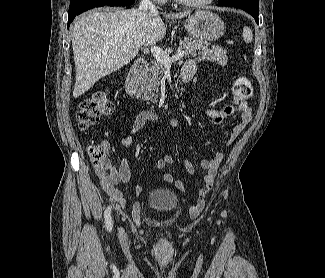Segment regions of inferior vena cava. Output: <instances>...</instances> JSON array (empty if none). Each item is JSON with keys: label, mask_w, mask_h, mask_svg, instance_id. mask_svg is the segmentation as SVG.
<instances>
[{"label": "inferior vena cava", "mask_w": 325, "mask_h": 278, "mask_svg": "<svg viewBox=\"0 0 325 278\" xmlns=\"http://www.w3.org/2000/svg\"><path fill=\"white\" fill-rule=\"evenodd\" d=\"M139 10L151 13L157 12L155 5L150 0H142L139 6Z\"/></svg>", "instance_id": "obj_1"}]
</instances>
